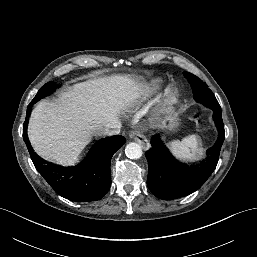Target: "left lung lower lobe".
<instances>
[{"label": "left lung lower lobe", "instance_id": "0a47b994", "mask_svg": "<svg viewBox=\"0 0 257 257\" xmlns=\"http://www.w3.org/2000/svg\"><path fill=\"white\" fill-rule=\"evenodd\" d=\"M214 121L219 131L215 144L208 149L205 160L188 165L175 159L160 135L151 139L152 148L145 156L148 161L147 186L158 198L170 200L189 195L199 189L215 170L225 138L221 109H213Z\"/></svg>", "mask_w": 257, "mask_h": 257}]
</instances>
